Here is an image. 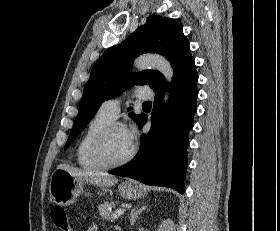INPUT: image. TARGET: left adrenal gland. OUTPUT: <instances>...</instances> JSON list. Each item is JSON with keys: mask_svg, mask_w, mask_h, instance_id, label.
<instances>
[{"mask_svg": "<svg viewBox=\"0 0 280 231\" xmlns=\"http://www.w3.org/2000/svg\"><path fill=\"white\" fill-rule=\"evenodd\" d=\"M146 205H142V207H140V209H137V207H134V209H132L131 213H130V225H134L137 217H138V213H140V211H143V209H145Z\"/></svg>", "mask_w": 280, "mask_h": 231, "instance_id": "1", "label": "left adrenal gland"}]
</instances>
